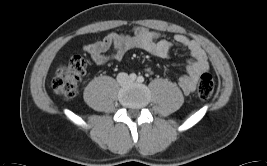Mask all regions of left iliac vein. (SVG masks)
Here are the masks:
<instances>
[{
  "label": "left iliac vein",
  "mask_w": 267,
  "mask_h": 166,
  "mask_svg": "<svg viewBox=\"0 0 267 166\" xmlns=\"http://www.w3.org/2000/svg\"><path fill=\"white\" fill-rule=\"evenodd\" d=\"M130 82H131V83H133V82H134V80H130Z\"/></svg>",
  "instance_id": "left-iliac-vein-1"
}]
</instances>
